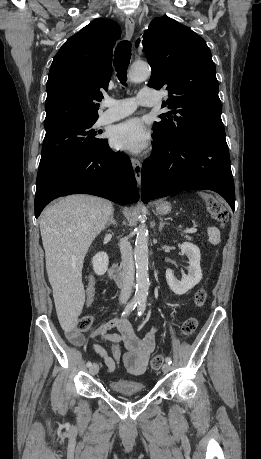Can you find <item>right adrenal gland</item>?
Masks as SVG:
<instances>
[{
    "label": "right adrenal gland",
    "instance_id": "2a0ac1e0",
    "mask_svg": "<svg viewBox=\"0 0 261 459\" xmlns=\"http://www.w3.org/2000/svg\"><path fill=\"white\" fill-rule=\"evenodd\" d=\"M110 225H117L116 220L114 219V212L111 214L110 219L106 225V228H108Z\"/></svg>",
    "mask_w": 261,
    "mask_h": 459
}]
</instances>
